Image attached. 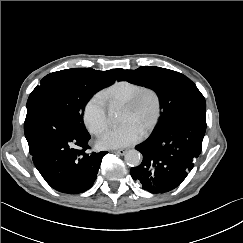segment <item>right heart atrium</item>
I'll return each instance as SVG.
<instances>
[{
    "instance_id": "obj_1",
    "label": "right heart atrium",
    "mask_w": 243,
    "mask_h": 243,
    "mask_svg": "<svg viewBox=\"0 0 243 243\" xmlns=\"http://www.w3.org/2000/svg\"><path fill=\"white\" fill-rule=\"evenodd\" d=\"M83 121L88 131L94 135L101 134L107 127V103L103 95H93L85 104Z\"/></svg>"
}]
</instances>
